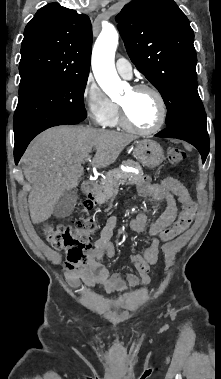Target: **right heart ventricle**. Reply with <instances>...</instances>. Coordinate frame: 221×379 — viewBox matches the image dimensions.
Listing matches in <instances>:
<instances>
[{
    "instance_id": "obj_1",
    "label": "right heart ventricle",
    "mask_w": 221,
    "mask_h": 379,
    "mask_svg": "<svg viewBox=\"0 0 221 379\" xmlns=\"http://www.w3.org/2000/svg\"><path fill=\"white\" fill-rule=\"evenodd\" d=\"M118 121H119V115H118V110H117V113L115 114V116L113 117V119L110 121L108 125H115L118 123Z\"/></svg>"
}]
</instances>
